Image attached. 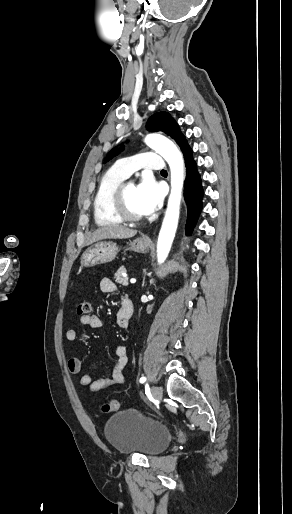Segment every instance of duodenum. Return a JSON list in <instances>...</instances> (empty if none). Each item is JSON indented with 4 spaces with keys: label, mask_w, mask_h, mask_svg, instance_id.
<instances>
[{
    "label": "duodenum",
    "mask_w": 292,
    "mask_h": 514,
    "mask_svg": "<svg viewBox=\"0 0 292 514\" xmlns=\"http://www.w3.org/2000/svg\"><path fill=\"white\" fill-rule=\"evenodd\" d=\"M121 307L123 311L125 312V315L127 318H131L134 311V305L131 299L129 298H122L121 299Z\"/></svg>",
    "instance_id": "duodenum-1"
}]
</instances>
